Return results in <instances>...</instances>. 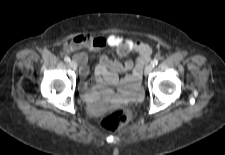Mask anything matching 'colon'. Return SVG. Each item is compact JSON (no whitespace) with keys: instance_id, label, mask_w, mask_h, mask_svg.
<instances>
[{"instance_id":"5ec220e1","label":"colon","mask_w":225,"mask_h":155,"mask_svg":"<svg viewBox=\"0 0 225 155\" xmlns=\"http://www.w3.org/2000/svg\"><path fill=\"white\" fill-rule=\"evenodd\" d=\"M135 116L136 113L132 108H118L104 115L100 121V125L107 131H114L133 121Z\"/></svg>"}]
</instances>
